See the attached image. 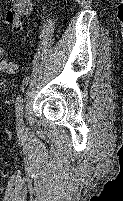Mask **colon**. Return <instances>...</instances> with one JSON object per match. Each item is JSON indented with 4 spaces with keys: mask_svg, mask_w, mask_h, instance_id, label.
I'll return each mask as SVG.
<instances>
[{
    "mask_svg": "<svg viewBox=\"0 0 123 201\" xmlns=\"http://www.w3.org/2000/svg\"><path fill=\"white\" fill-rule=\"evenodd\" d=\"M0 70L7 73H14L16 66L13 62L4 58L3 53L0 52Z\"/></svg>",
    "mask_w": 123,
    "mask_h": 201,
    "instance_id": "5ec220e1",
    "label": "colon"
}]
</instances>
